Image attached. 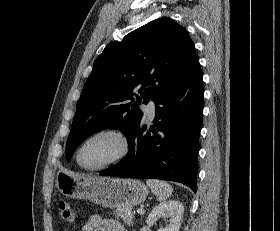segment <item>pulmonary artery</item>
<instances>
[{
    "mask_svg": "<svg viewBox=\"0 0 280 231\" xmlns=\"http://www.w3.org/2000/svg\"><path fill=\"white\" fill-rule=\"evenodd\" d=\"M145 105H156L153 100H149ZM145 113H156V110H144ZM149 120H153L154 118H148Z\"/></svg>",
    "mask_w": 280,
    "mask_h": 231,
    "instance_id": "1",
    "label": "pulmonary artery"
}]
</instances>
